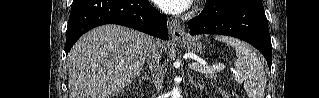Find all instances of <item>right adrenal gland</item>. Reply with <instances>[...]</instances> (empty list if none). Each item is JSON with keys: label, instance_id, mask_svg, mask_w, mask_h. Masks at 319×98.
<instances>
[{"label": "right adrenal gland", "instance_id": "obj_1", "mask_svg": "<svg viewBox=\"0 0 319 98\" xmlns=\"http://www.w3.org/2000/svg\"><path fill=\"white\" fill-rule=\"evenodd\" d=\"M145 79L149 80V75L148 74H145V76L142 77V80H145Z\"/></svg>", "mask_w": 319, "mask_h": 98}]
</instances>
